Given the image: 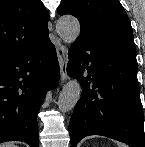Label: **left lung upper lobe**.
Instances as JSON below:
<instances>
[{
    "label": "left lung upper lobe",
    "instance_id": "5c2ea615",
    "mask_svg": "<svg viewBox=\"0 0 145 147\" xmlns=\"http://www.w3.org/2000/svg\"><path fill=\"white\" fill-rule=\"evenodd\" d=\"M57 11L79 20L80 35L134 43L130 20L118 0H62Z\"/></svg>",
    "mask_w": 145,
    "mask_h": 147
}]
</instances>
